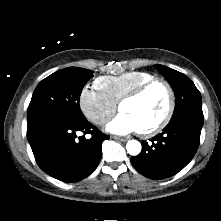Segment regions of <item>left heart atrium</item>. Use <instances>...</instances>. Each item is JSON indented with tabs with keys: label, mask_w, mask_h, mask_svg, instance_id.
Segmentation results:
<instances>
[{
	"label": "left heart atrium",
	"mask_w": 221,
	"mask_h": 221,
	"mask_svg": "<svg viewBox=\"0 0 221 221\" xmlns=\"http://www.w3.org/2000/svg\"><path fill=\"white\" fill-rule=\"evenodd\" d=\"M109 132L125 135L132 132L139 131L137 121L127 113L121 112L118 114L106 127Z\"/></svg>",
	"instance_id": "1"
}]
</instances>
